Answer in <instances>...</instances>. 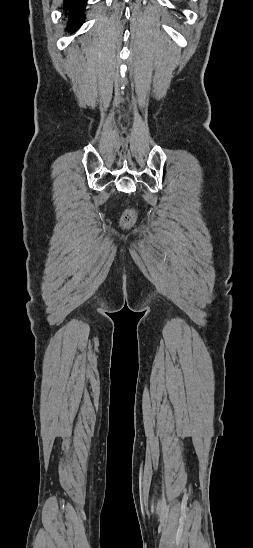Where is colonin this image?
<instances>
[{"label": "colon", "mask_w": 253, "mask_h": 548, "mask_svg": "<svg viewBox=\"0 0 253 548\" xmlns=\"http://www.w3.org/2000/svg\"><path fill=\"white\" fill-rule=\"evenodd\" d=\"M134 219H135L134 213L132 211H127L122 218L123 226L129 227L134 222Z\"/></svg>", "instance_id": "5ec220e1"}]
</instances>
